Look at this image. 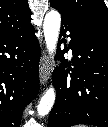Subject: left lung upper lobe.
<instances>
[{"label": "left lung upper lobe", "mask_w": 108, "mask_h": 127, "mask_svg": "<svg viewBox=\"0 0 108 127\" xmlns=\"http://www.w3.org/2000/svg\"><path fill=\"white\" fill-rule=\"evenodd\" d=\"M62 12L92 28L108 33V8L104 0H51Z\"/></svg>", "instance_id": "5c2ea615"}]
</instances>
